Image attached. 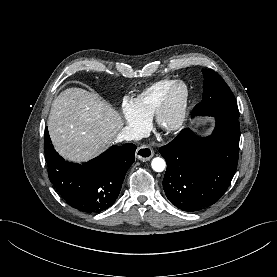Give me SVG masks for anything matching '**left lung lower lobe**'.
Returning <instances> with one entry per match:
<instances>
[{
    "label": "left lung lower lobe",
    "instance_id": "obj_1",
    "mask_svg": "<svg viewBox=\"0 0 277 277\" xmlns=\"http://www.w3.org/2000/svg\"><path fill=\"white\" fill-rule=\"evenodd\" d=\"M213 133L205 138L183 129L159 149L167 162L163 188L167 198L186 212L203 210L227 190L237 167L238 119L214 116Z\"/></svg>",
    "mask_w": 277,
    "mask_h": 277
}]
</instances>
